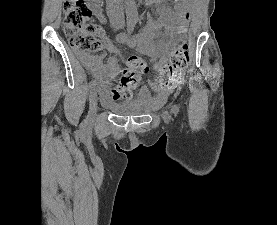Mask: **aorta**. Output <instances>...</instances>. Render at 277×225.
<instances>
[{"instance_id":"1","label":"aorta","mask_w":277,"mask_h":225,"mask_svg":"<svg viewBox=\"0 0 277 225\" xmlns=\"http://www.w3.org/2000/svg\"><path fill=\"white\" fill-rule=\"evenodd\" d=\"M125 10L128 21H134L138 18V11L135 0H126Z\"/></svg>"}]
</instances>
